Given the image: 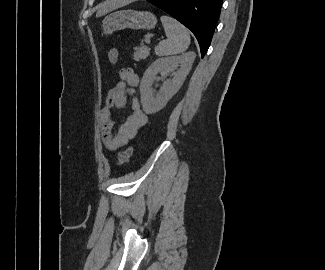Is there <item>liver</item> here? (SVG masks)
Segmentation results:
<instances>
[{
    "mask_svg": "<svg viewBox=\"0 0 325 270\" xmlns=\"http://www.w3.org/2000/svg\"><path fill=\"white\" fill-rule=\"evenodd\" d=\"M128 2H130V0H107L106 2L99 4L96 17H101L110 11L126 5Z\"/></svg>",
    "mask_w": 325,
    "mask_h": 270,
    "instance_id": "liver-1",
    "label": "liver"
}]
</instances>
